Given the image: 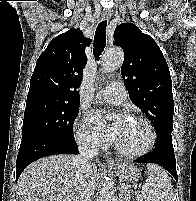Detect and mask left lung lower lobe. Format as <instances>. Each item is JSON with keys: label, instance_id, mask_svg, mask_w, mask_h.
<instances>
[{"label": "left lung lower lobe", "instance_id": "left-lung-lower-lobe-1", "mask_svg": "<svg viewBox=\"0 0 196 201\" xmlns=\"http://www.w3.org/2000/svg\"><path fill=\"white\" fill-rule=\"evenodd\" d=\"M137 163H154L162 166L177 180L176 159L172 144L171 133L158 136L156 147L152 153L146 154L135 160Z\"/></svg>", "mask_w": 196, "mask_h": 201}]
</instances>
